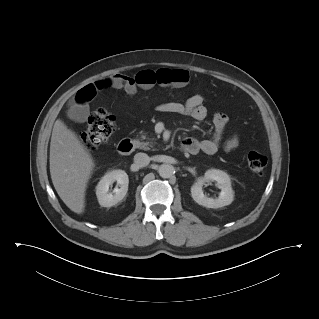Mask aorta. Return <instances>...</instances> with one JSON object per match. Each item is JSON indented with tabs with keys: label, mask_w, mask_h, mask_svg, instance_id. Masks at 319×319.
<instances>
[{
	"label": "aorta",
	"mask_w": 319,
	"mask_h": 319,
	"mask_svg": "<svg viewBox=\"0 0 319 319\" xmlns=\"http://www.w3.org/2000/svg\"><path fill=\"white\" fill-rule=\"evenodd\" d=\"M158 173L162 178H170L174 174V167L170 164H162L158 168Z\"/></svg>",
	"instance_id": "1"
}]
</instances>
